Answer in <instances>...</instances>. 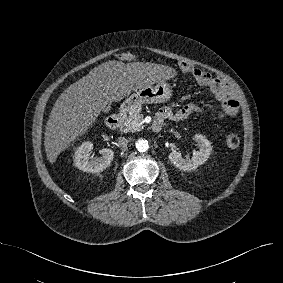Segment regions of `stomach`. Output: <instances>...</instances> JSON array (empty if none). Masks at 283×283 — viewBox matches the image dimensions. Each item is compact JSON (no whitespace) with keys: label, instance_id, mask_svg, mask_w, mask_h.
<instances>
[{"label":"stomach","instance_id":"0dacf381","mask_svg":"<svg viewBox=\"0 0 283 283\" xmlns=\"http://www.w3.org/2000/svg\"><path fill=\"white\" fill-rule=\"evenodd\" d=\"M172 96V89L165 81L158 82L156 85H150L134 91L122 103L120 109L123 112H129L142 104L163 103Z\"/></svg>","mask_w":283,"mask_h":283}]
</instances>
